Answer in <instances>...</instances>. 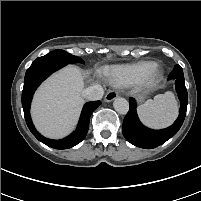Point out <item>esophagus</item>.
Wrapping results in <instances>:
<instances>
[{
	"label": "esophagus",
	"mask_w": 201,
	"mask_h": 201,
	"mask_svg": "<svg viewBox=\"0 0 201 201\" xmlns=\"http://www.w3.org/2000/svg\"><path fill=\"white\" fill-rule=\"evenodd\" d=\"M118 96V92L115 90H110L107 92L105 96V101L106 102H111L113 101L116 97Z\"/></svg>",
	"instance_id": "1"
}]
</instances>
